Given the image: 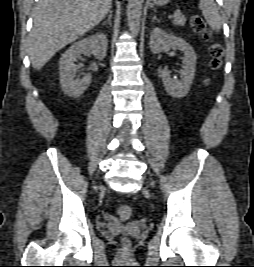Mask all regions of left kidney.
Listing matches in <instances>:
<instances>
[{
    "label": "left kidney",
    "instance_id": "1",
    "mask_svg": "<svg viewBox=\"0 0 254 267\" xmlns=\"http://www.w3.org/2000/svg\"><path fill=\"white\" fill-rule=\"evenodd\" d=\"M178 49L184 53L183 69L180 71V80L171 78L170 71L164 69L161 72L162 81L167 93L174 98L185 97L193 82L197 56L189 43L183 39L168 34L156 27L151 31L150 49L153 54H158L166 48Z\"/></svg>",
    "mask_w": 254,
    "mask_h": 267
}]
</instances>
